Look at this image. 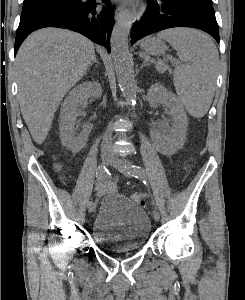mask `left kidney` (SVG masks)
<instances>
[{"instance_id": "left-kidney-1", "label": "left kidney", "mask_w": 245, "mask_h": 300, "mask_svg": "<svg viewBox=\"0 0 245 300\" xmlns=\"http://www.w3.org/2000/svg\"><path fill=\"white\" fill-rule=\"evenodd\" d=\"M147 96L153 108L163 104L170 109L173 116L172 128L160 127L156 131V141L165 153H174L182 147L186 137L188 120L184 107L175 94L158 83L150 87Z\"/></svg>"}]
</instances>
